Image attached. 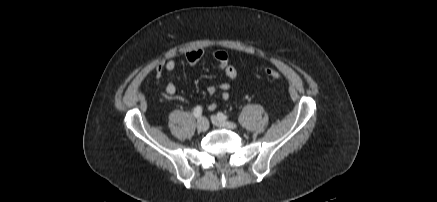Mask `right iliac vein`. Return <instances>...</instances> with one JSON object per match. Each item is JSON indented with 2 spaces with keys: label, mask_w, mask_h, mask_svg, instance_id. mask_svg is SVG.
<instances>
[{
  "label": "right iliac vein",
  "mask_w": 437,
  "mask_h": 202,
  "mask_svg": "<svg viewBox=\"0 0 437 202\" xmlns=\"http://www.w3.org/2000/svg\"><path fill=\"white\" fill-rule=\"evenodd\" d=\"M209 128V122L206 118L202 117L197 122V130L199 132H205Z\"/></svg>",
  "instance_id": "obj_1"
}]
</instances>
